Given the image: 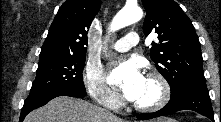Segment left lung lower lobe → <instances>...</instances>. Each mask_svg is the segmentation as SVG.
I'll return each instance as SVG.
<instances>
[{
    "mask_svg": "<svg viewBox=\"0 0 221 122\" xmlns=\"http://www.w3.org/2000/svg\"><path fill=\"white\" fill-rule=\"evenodd\" d=\"M180 110H192L214 120V113L211 106L209 93L206 86H188L179 91L176 95H171L169 103L161 110L138 115L140 120L152 119L159 116L168 115Z\"/></svg>",
    "mask_w": 221,
    "mask_h": 122,
    "instance_id": "left-lung-lower-lobe-1",
    "label": "left lung lower lobe"
}]
</instances>
